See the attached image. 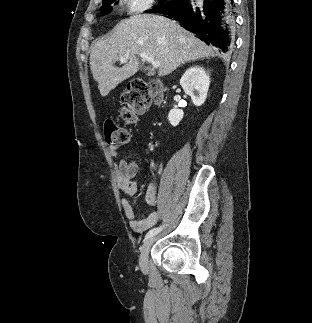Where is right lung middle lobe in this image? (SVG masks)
Listing matches in <instances>:
<instances>
[{
    "mask_svg": "<svg viewBox=\"0 0 312 323\" xmlns=\"http://www.w3.org/2000/svg\"><path fill=\"white\" fill-rule=\"evenodd\" d=\"M114 0H111L107 3H104L101 7L102 12L101 14H106L110 12L111 7L109 6ZM159 4L155 6L154 10H150L148 12H158L161 9L172 8L174 7L180 0H158Z\"/></svg>",
    "mask_w": 312,
    "mask_h": 323,
    "instance_id": "right-lung-middle-lobe-1",
    "label": "right lung middle lobe"
}]
</instances>
